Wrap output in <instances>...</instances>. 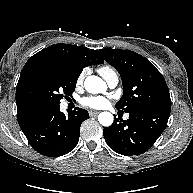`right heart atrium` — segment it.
<instances>
[{"label": "right heart atrium", "mask_w": 193, "mask_h": 193, "mask_svg": "<svg viewBox=\"0 0 193 193\" xmlns=\"http://www.w3.org/2000/svg\"><path fill=\"white\" fill-rule=\"evenodd\" d=\"M85 75H86V70H83V71L79 74V76H78V78H77V83H78V84L82 83Z\"/></svg>", "instance_id": "d8ad5b80"}]
</instances>
